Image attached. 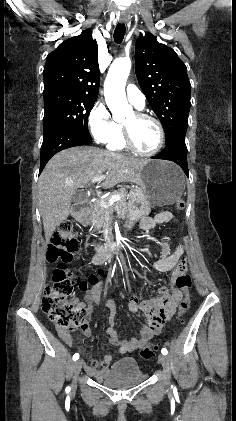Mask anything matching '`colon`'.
Instances as JSON below:
<instances>
[{"mask_svg": "<svg viewBox=\"0 0 236 421\" xmlns=\"http://www.w3.org/2000/svg\"><path fill=\"white\" fill-rule=\"evenodd\" d=\"M177 210L185 208V202L176 203ZM77 240L73 224L70 221L63 222L53 234L47 250V259L50 262H60L52 274V283L44 290L42 309L48 318L55 324L59 331L73 332L83 327L88 322L87 309L77 303L71 302L68 297L76 289L87 290L89 286H95L103 271L90 274L86 279L73 274L66 266L78 252ZM175 283L183 297L179 301L178 318L182 322V316L190 309L189 289L192 281L186 273V265L180 262L176 270ZM158 344H147L141 349V357L150 359L158 349Z\"/></svg>", "mask_w": 236, "mask_h": 421, "instance_id": "obj_1", "label": "colon"}]
</instances>
